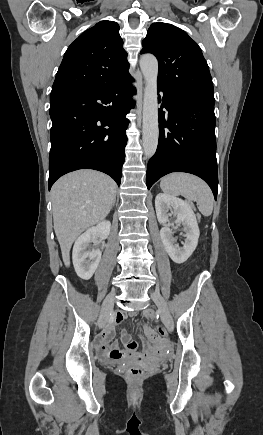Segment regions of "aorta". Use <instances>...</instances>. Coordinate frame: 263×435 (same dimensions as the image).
<instances>
[{
    "label": "aorta",
    "instance_id": "obj_1",
    "mask_svg": "<svg viewBox=\"0 0 263 435\" xmlns=\"http://www.w3.org/2000/svg\"><path fill=\"white\" fill-rule=\"evenodd\" d=\"M140 68L145 79L143 99V151L151 158L157 149L159 138L157 76L158 61L155 56L146 54L140 59Z\"/></svg>",
    "mask_w": 263,
    "mask_h": 435
}]
</instances>
